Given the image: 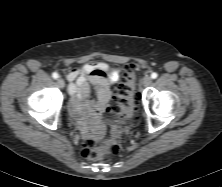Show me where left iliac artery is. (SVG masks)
I'll return each instance as SVG.
<instances>
[{
  "mask_svg": "<svg viewBox=\"0 0 222 187\" xmlns=\"http://www.w3.org/2000/svg\"><path fill=\"white\" fill-rule=\"evenodd\" d=\"M157 76H158V74H157V73H155V72L151 74V78H153V79H156V78H157Z\"/></svg>",
  "mask_w": 222,
  "mask_h": 187,
  "instance_id": "44dca946",
  "label": "left iliac artery"
}]
</instances>
